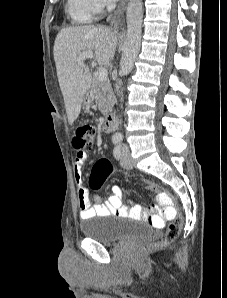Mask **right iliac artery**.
<instances>
[{"instance_id":"82829eb1","label":"right iliac artery","mask_w":227,"mask_h":298,"mask_svg":"<svg viewBox=\"0 0 227 298\" xmlns=\"http://www.w3.org/2000/svg\"><path fill=\"white\" fill-rule=\"evenodd\" d=\"M120 140H121V138H120V137H118V136H114V137L112 138V141H113V143H114V144H117V143H119V142H120Z\"/></svg>"}]
</instances>
